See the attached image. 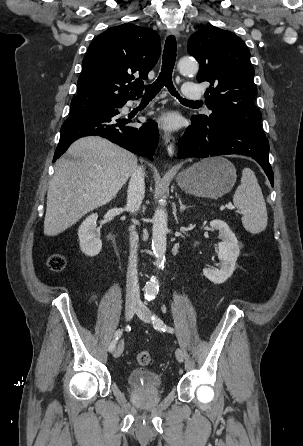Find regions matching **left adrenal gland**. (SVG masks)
<instances>
[{
    "label": "left adrenal gland",
    "mask_w": 303,
    "mask_h": 446,
    "mask_svg": "<svg viewBox=\"0 0 303 446\" xmlns=\"http://www.w3.org/2000/svg\"><path fill=\"white\" fill-rule=\"evenodd\" d=\"M179 204H180V212H183L184 210H186L187 208H191V206H186L182 203L181 198H179Z\"/></svg>",
    "instance_id": "obj_1"
}]
</instances>
